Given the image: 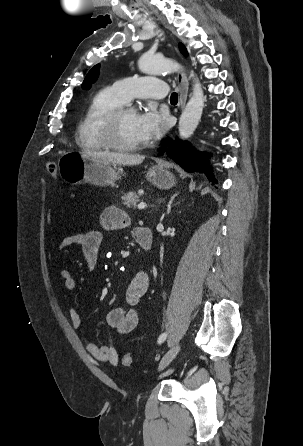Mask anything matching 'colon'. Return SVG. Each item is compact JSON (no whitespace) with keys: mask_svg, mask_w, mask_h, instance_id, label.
<instances>
[{"mask_svg":"<svg viewBox=\"0 0 303 446\" xmlns=\"http://www.w3.org/2000/svg\"><path fill=\"white\" fill-rule=\"evenodd\" d=\"M48 169L52 176H58V169L53 162L48 163ZM120 362L123 366L129 367L132 364V357L130 353H125L121 356Z\"/></svg>","mask_w":303,"mask_h":446,"instance_id":"5ec220e1","label":"colon"}]
</instances>
